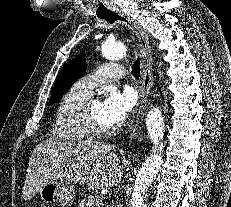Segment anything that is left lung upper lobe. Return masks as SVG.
Wrapping results in <instances>:
<instances>
[{
	"label": "left lung upper lobe",
	"instance_id": "1",
	"mask_svg": "<svg viewBox=\"0 0 231 207\" xmlns=\"http://www.w3.org/2000/svg\"><path fill=\"white\" fill-rule=\"evenodd\" d=\"M86 71V60L84 56L77 55L71 62L67 63L57 76L49 99L48 105L56 103L72 84Z\"/></svg>",
	"mask_w": 231,
	"mask_h": 207
}]
</instances>
